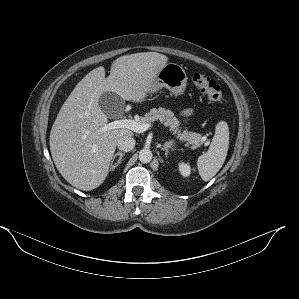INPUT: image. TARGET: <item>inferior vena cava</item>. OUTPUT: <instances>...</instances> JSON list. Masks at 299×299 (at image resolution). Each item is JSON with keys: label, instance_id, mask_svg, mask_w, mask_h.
I'll use <instances>...</instances> for the list:
<instances>
[{"label": "inferior vena cava", "instance_id": "1", "mask_svg": "<svg viewBox=\"0 0 299 299\" xmlns=\"http://www.w3.org/2000/svg\"><path fill=\"white\" fill-rule=\"evenodd\" d=\"M119 150L129 152L135 147V139L130 135H124L117 142Z\"/></svg>", "mask_w": 299, "mask_h": 299}]
</instances>
